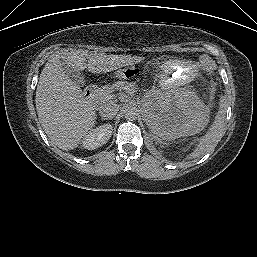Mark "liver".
Here are the masks:
<instances>
[{
  "instance_id": "6515ba94",
  "label": "liver",
  "mask_w": 257,
  "mask_h": 257,
  "mask_svg": "<svg viewBox=\"0 0 257 257\" xmlns=\"http://www.w3.org/2000/svg\"><path fill=\"white\" fill-rule=\"evenodd\" d=\"M139 61L137 56L89 54L87 50L52 54L40 74L35 99L39 121L51 142L62 150H73L96 122L93 105L66 75L64 63L78 71L107 73Z\"/></svg>"
}]
</instances>
